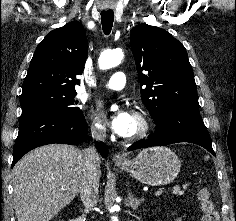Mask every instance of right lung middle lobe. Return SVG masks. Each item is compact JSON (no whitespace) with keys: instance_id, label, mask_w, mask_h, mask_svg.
<instances>
[{"instance_id":"right-lung-middle-lobe-1","label":"right lung middle lobe","mask_w":236,"mask_h":221,"mask_svg":"<svg viewBox=\"0 0 236 221\" xmlns=\"http://www.w3.org/2000/svg\"><path fill=\"white\" fill-rule=\"evenodd\" d=\"M76 91L39 89L24 93L20 97L22 114L35 110H57L73 114L82 113L74 100Z\"/></svg>"}]
</instances>
